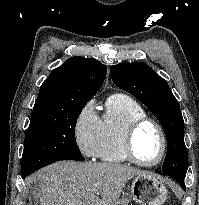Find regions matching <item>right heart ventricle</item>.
I'll return each mask as SVG.
<instances>
[{"instance_id": "1", "label": "right heart ventricle", "mask_w": 199, "mask_h": 205, "mask_svg": "<svg viewBox=\"0 0 199 205\" xmlns=\"http://www.w3.org/2000/svg\"><path fill=\"white\" fill-rule=\"evenodd\" d=\"M146 116L142 106L133 98L120 93L112 94L105 103L100 120L97 156L106 163H127L123 151V137L128 125Z\"/></svg>"}]
</instances>
